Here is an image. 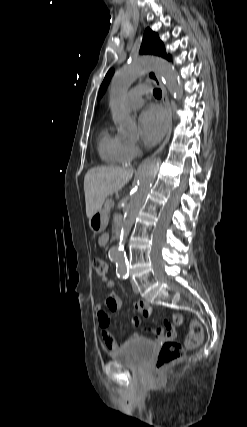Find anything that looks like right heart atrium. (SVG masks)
<instances>
[{"instance_id":"obj_1","label":"right heart atrium","mask_w":247,"mask_h":427,"mask_svg":"<svg viewBox=\"0 0 247 427\" xmlns=\"http://www.w3.org/2000/svg\"><path fill=\"white\" fill-rule=\"evenodd\" d=\"M128 151L130 157L132 158L138 154L139 147L135 142H128Z\"/></svg>"}]
</instances>
